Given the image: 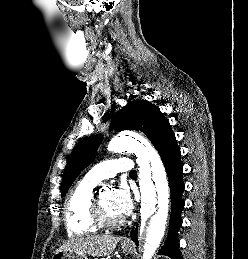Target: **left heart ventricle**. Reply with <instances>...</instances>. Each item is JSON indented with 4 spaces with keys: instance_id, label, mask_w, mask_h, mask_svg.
Here are the masks:
<instances>
[{
    "instance_id": "1",
    "label": "left heart ventricle",
    "mask_w": 248,
    "mask_h": 259,
    "mask_svg": "<svg viewBox=\"0 0 248 259\" xmlns=\"http://www.w3.org/2000/svg\"><path fill=\"white\" fill-rule=\"evenodd\" d=\"M112 191H103L99 194V199L108 219L118 220L122 218L114 208L112 201Z\"/></svg>"
}]
</instances>
